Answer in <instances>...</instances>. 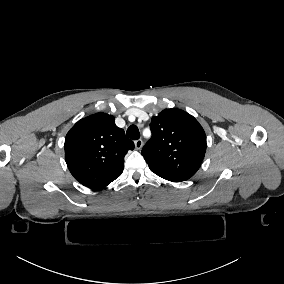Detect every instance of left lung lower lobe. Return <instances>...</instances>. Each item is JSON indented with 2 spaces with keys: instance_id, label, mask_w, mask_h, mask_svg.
<instances>
[{
  "instance_id": "left-lung-lower-lobe-1",
  "label": "left lung lower lobe",
  "mask_w": 284,
  "mask_h": 284,
  "mask_svg": "<svg viewBox=\"0 0 284 284\" xmlns=\"http://www.w3.org/2000/svg\"><path fill=\"white\" fill-rule=\"evenodd\" d=\"M164 179L169 180V181H173V182H180V180L171 179V178H164Z\"/></svg>"
}]
</instances>
